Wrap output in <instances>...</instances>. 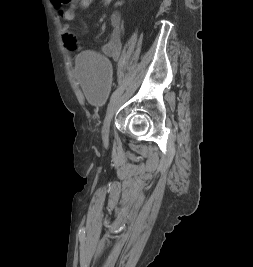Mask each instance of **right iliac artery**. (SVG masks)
Segmentation results:
<instances>
[{"label": "right iliac artery", "mask_w": 253, "mask_h": 267, "mask_svg": "<svg viewBox=\"0 0 253 267\" xmlns=\"http://www.w3.org/2000/svg\"><path fill=\"white\" fill-rule=\"evenodd\" d=\"M123 85H124V82L121 83V85L113 92L111 96V100L123 90Z\"/></svg>", "instance_id": "right-iliac-artery-1"}]
</instances>
